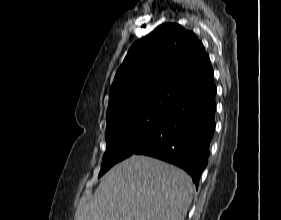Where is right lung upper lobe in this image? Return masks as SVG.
I'll return each mask as SVG.
<instances>
[{
  "instance_id": "obj_1",
  "label": "right lung upper lobe",
  "mask_w": 281,
  "mask_h": 220,
  "mask_svg": "<svg viewBox=\"0 0 281 220\" xmlns=\"http://www.w3.org/2000/svg\"><path fill=\"white\" fill-rule=\"evenodd\" d=\"M204 46L192 31L165 23L135 42L110 88L107 124L132 114L166 112L214 85Z\"/></svg>"
}]
</instances>
